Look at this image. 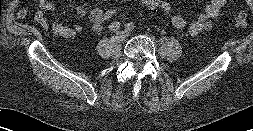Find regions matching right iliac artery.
Segmentation results:
<instances>
[{
	"label": "right iliac artery",
	"mask_w": 253,
	"mask_h": 131,
	"mask_svg": "<svg viewBox=\"0 0 253 131\" xmlns=\"http://www.w3.org/2000/svg\"><path fill=\"white\" fill-rule=\"evenodd\" d=\"M120 28V23L117 22V21H114L112 22L110 25H109V29L113 32L117 31L118 29Z\"/></svg>",
	"instance_id": "82829eb1"
}]
</instances>
